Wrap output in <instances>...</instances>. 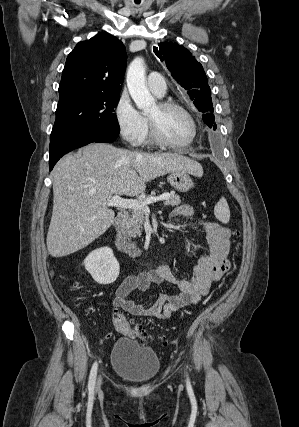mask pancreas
<instances>
[{
    "label": "pancreas",
    "mask_w": 299,
    "mask_h": 427,
    "mask_svg": "<svg viewBox=\"0 0 299 427\" xmlns=\"http://www.w3.org/2000/svg\"><path fill=\"white\" fill-rule=\"evenodd\" d=\"M150 197V196H149ZM148 199V198H147ZM147 199L143 200L146 201ZM181 203L180 197L175 193L171 192L170 197L164 200L166 206H178ZM145 212L142 210H133L131 217L126 223L125 233L130 238H136L141 236V232L144 225Z\"/></svg>",
    "instance_id": "obj_1"
}]
</instances>
